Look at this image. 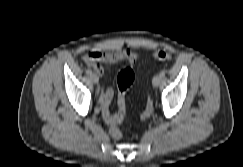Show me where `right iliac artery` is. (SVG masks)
<instances>
[{
    "label": "right iliac artery",
    "instance_id": "82829eb1",
    "mask_svg": "<svg viewBox=\"0 0 243 167\" xmlns=\"http://www.w3.org/2000/svg\"><path fill=\"white\" fill-rule=\"evenodd\" d=\"M86 73L89 74V75H91L92 74V71L90 69H87L86 70Z\"/></svg>",
    "mask_w": 243,
    "mask_h": 167
}]
</instances>
